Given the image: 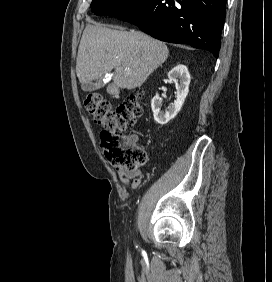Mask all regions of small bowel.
I'll return each instance as SVG.
<instances>
[{"label": "small bowel", "mask_w": 272, "mask_h": 282, "mask_svg": "<svg viewBox=\"0 0 272 282\" xmlns=\"http://www.w3.org/2000/svg\"><path fill=\"white\" fill-rule=\"evenodd\" d=\"M131 141L136 144L139 140L137 135L130 136ZM118 176L121 182L129 186V181L132 180L131 187L136 189L140 186V184L145 181V175L137 170H129V169H117Z\"/></svg>", "instance_id": "small-bowel-1"}]
</instances>
